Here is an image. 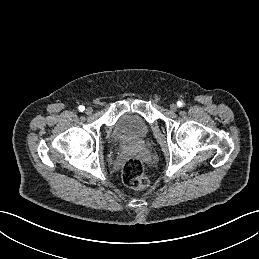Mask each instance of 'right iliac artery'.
Wrapping results in <instances>:
<instances>
[{
	"label": "right iliac artery",
	"instance_id": "right-iliac-artery-1",
	"mask_svg": "<svg viewBox=\"0 0 259 259\" xmlns=\"http://www.w3.org/2000/svg\"><path fill=\"white\" fill-rule=\"evenodd\" d=\"M78 109H79L80 112H83V111L85 110V107H84L83 105H80V106L78 107Z\"/></svg>",
	"mask_w": 259,
	"mask_h": 259
}]
</instances>
